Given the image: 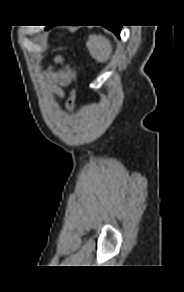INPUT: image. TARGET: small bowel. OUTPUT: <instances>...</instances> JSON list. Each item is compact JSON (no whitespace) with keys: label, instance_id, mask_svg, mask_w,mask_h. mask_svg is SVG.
<instances>
[{"label":"small bowel","instance_id":"small-bowel-1","mask_svg":"<svg viewBox=\"0 0 184 292\" xmlns=\"http://www.w3.org/2000/svg\"><path fill=\"white\" fill-rule=\"evenodd\" d=\"M55 62L60 68L50 72L49 81L56 94L61 96V88L71 82L74 77V72L63 63L60 57L56 58Z\"/></svg>","mask_w":184,"mask_h":292}]
</instances>
